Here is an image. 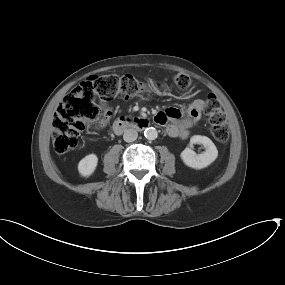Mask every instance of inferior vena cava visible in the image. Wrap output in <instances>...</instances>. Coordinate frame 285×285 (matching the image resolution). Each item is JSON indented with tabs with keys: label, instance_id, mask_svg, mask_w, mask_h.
Masks as SVG:
<instances>
[{
	"label": "inferior vena cava",
	"instance_id": "1",
	"mask_svg": "<svg viewBox=\"0 0 285 285\" xmlns=\"http://www.w3.org/2000/svg\"><path fill=\"white\" fill-rule=\"evenodd\" d=\"M138 133L135 129H127L123 134V139L126 142H133L137 139Z\"/></svg>",
	"mask_w": 285,
	"mask_h": 285
}]
</instances>
